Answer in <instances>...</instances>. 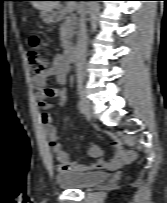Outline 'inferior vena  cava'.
<instances>
[{"instance_id":"obj_1","label":"inferior vena cava","mask_w":167,"mask_h":203,"mask_svg":"<svg viewBox=\"0 0 167 203\" xmlns=\"http://www.w3.org/2000/svg\"><path fill=\"white\" fill-rule=\"evenodd\" d=\"M86 52H87L86 19L85 12L81 9L79 20L78 44L76 49V71L78 77L84 76Z\"/></svg>"}]
</instances>
